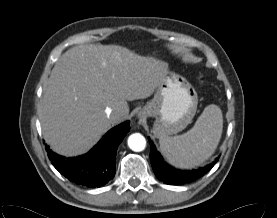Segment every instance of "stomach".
Wrapping results in <instances>:
<instances>
[{
    "instance_id": "1",
    "label": "stomach",
    "mask_w": 277,
    "mask_h": 218,
    "mask_svg": "<svg viewBox=\"0 0 277 218\" xmlns=\"http://www.w3.org/2000/svg\"><path fill=\"white\" fill-rule=\"evenodd\" d=\"M198 95L181 75L168 72L154 98L140 111V117H154L155 137L174 135L191 123L196 114Z\"/></svg>"
}]
</instances>
